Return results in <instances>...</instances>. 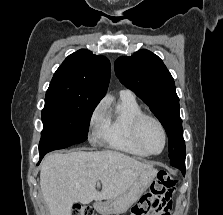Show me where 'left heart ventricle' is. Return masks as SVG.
I'll use <instances>...</instances> for the list:
<instances>
[{
  "instance_id": "obj_1",
  "label": "left heart ventricle",
  "mask_w": 223,
  "mask_h": 215,
  "mask_svg": "<svg viewBox=\"0 0 223 215\" xmlns=\"http://www.w3.org/2000/svg\"><path fill=\"white\" fill-rule=\"evenodd\" d=\"M141 148L145 152L155 153L161 149L162 135L158 126L152 121H145L140 132Z\"/></svg>"
}]
</instances>
